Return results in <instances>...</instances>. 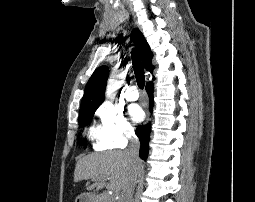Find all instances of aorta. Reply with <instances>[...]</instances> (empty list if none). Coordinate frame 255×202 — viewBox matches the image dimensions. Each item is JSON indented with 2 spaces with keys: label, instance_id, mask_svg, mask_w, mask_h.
<instances>
[{
  "label": "aorta",
  "instance_id": "aorta-1",
  "mask_svg": "<svg viewBox=\"0 0 255 202\" xmlns=\"http://www.w3.org/2000/svg\"><path fill=\"white\" fill-rule=\"evenodd\" d=\"M122 74L118 68H114L111 73V79L109 81L108 89H107V97L113 98L120 83H121Z\"/></svg>",
  "mask_w": 255,
  "mask_h": 202
}]
</instances>
